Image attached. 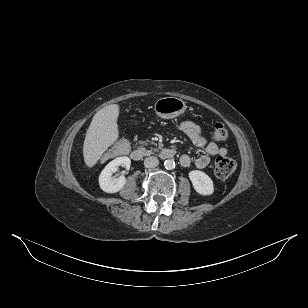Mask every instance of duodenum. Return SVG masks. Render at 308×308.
<instances>
[{
  "label": "duodenum",
  "instance_id": "1",
  "mask_svg": "<svg viewBox=\"0 0 308 308\" xmlns=\"http://www.w3.org/2000/svg\"><path fill=\"white\" fill-rule=\"evenodd\" d=\"M176 154V151L171 148H165L158 152V155L160 158L166 160V159H172ZM149 155V152L142 148H135L132 150L130 157L134 161H139Z\"/></svg>",
  "mask_w": 308,
  "mask_h": 308
}]
</instances>
